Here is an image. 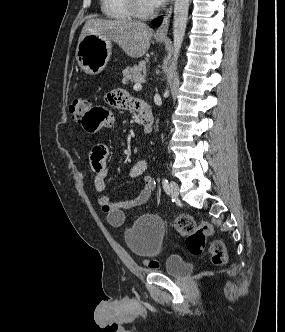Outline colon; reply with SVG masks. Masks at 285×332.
I'll list each match as a JSON object with an SVG mask.
<instances>
[{"mask_svg": "<svg viewBox=\"0 0 285 332\" xmlns=\"http://www.w3.org/2000/svg\"><path fill=\"white\" fill-rule=\"evenodd\" d=\"M90 106L94 105L89 99L74 100L70 105L72 118L78 122V115H84V111H90ZM175 228L185 237L187 249L195 255L201 254L205 250L206 238L213 232L212 225L209 222L202 221L197 224L194 218L187 214H182L176 218ZM208 251L214 264L219 265L226 262L227 253L222 241L215 240L211 242ZM147 264L151 268H156L159 265L156 260H149Z\"/></svg>", "mask_w": 285, "mask_h": 332, "instance_id": "colon-1", "label": "colon"}]
</instances>
